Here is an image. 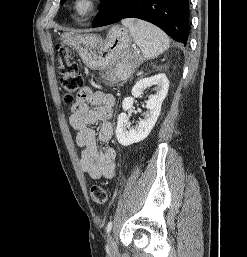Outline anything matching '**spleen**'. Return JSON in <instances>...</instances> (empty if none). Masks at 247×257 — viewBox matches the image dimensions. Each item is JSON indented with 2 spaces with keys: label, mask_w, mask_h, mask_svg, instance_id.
Returning <instances> with one entry per match:
<instances>
[{
  "label": "spleen",
  "mask_w": 247,
  "mask_h": 257,
  "mask_svg": "<svg viewBox=\"0 0 247 257\" xmlns=\"http://www.w3.org/2000/svg\"><path fill=\"white\" fill-rule=\"evenodd\" d=\"M122 24L130 30L144 58L157 57L169 47L168 36L161 29L146 21L131 18L123 19Z\"/></svg>",
  "instance_id": "spleen-1"
}]
</instances>
